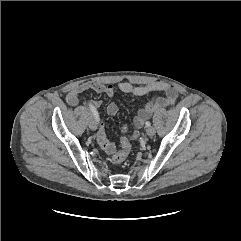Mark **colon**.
I'll return each mask as SVG.
<instances>
[{
  "label": "colon",
  "mask_w": 241,
  "mask_h": 241,
  "mask_svg": "<svg viewBox=\"0 0 241 241\" xmlns=\"http://www.w3.org/2000/svg\"><path fill=\"white\" fill-rule=\"evenodd\" d=\"M130 149L131 143L129 137L127 136V127H124L123 135L121 137V149L112 156L113 164H122L125 161Z\"/></svg>",
  "instance_id": "colon-1"
}]
</instances>
